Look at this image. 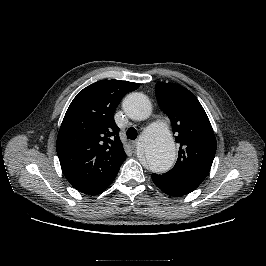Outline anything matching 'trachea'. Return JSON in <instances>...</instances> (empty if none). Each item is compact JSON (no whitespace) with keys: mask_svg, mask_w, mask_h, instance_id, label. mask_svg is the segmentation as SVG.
Here are the masks:
<instances>
[{"mask_svg":"<svg viewBox=\"0 0 266 266\" xmlns=\"http://www.w3.org/2000/svg\"><path fill=\"white\" fill-rule=\"evenodd\" d=\"M127 138L130 140H134L137 138V130L133 127H130L126 132Z\"/></svg>","mask_w":266,"mask_h":266,"instance_id":"obj_1","label":"trachea"}]
</instances>
